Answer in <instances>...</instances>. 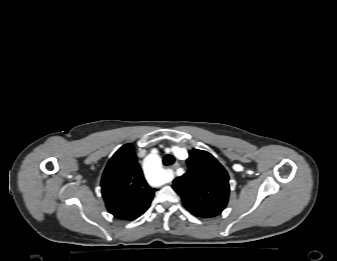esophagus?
<instances>
[{"label": "esophagus", "instance_id": "1", "mask_svg": "<svg viewBox=\"0 0 337 261\" xmlns=\"http://www.w3.org/2000/svg\"><path fill=\"white\" fill-rule=\"evenodd\" d=\"M179 167V163H175L173 166H171L172 169H176Z\"/></svg>", "mask_w": 337, "mask_h": 261}]
</instances>
